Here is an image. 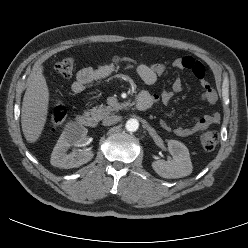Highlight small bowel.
Segmentation results:
<instances>
[{"mask_svg":"<svg viewBox=\"0 0 248 248\" xmlns=\"http://www.w3.org/2000/svg\"><path fill=\"white\" fill-rule=\"evenodd\" d=\"M125 66L128 69H132L137 73L140 79L147 85L154 84L157 79L162 76L166 70L167 65L164 63H152L144 64L138 63L137 65H121L117 63H109L98 66L96 68L86 67L80 69L76 78L71 85V89L75 94L83 92L85 89L90 87L94 82L109 77L114 72ZM172 66L178 70L190 71L200 82L202 93L200 99L209 104H215L218 100V96L211 84L206 80L205 66L198 60L190 56L177 58L173 61ZM183 89V83L181 79L177 78L174 80L171 86V90L163 91L161 94H149L143 93L151 98L152 105L158 102L169 103L176 93L181 92ZM220 114L214 112L211 114L196 117L186 124H182L173 128L167 121L161 120L160 126L166 131L173 132L177 136L187 137L195 135L212 125L220 122Z\"/></svg>","mask_w":248,"mask_h":248,"instance_id":"small-bowel-1","label":"small bowel"}]
</instances>
